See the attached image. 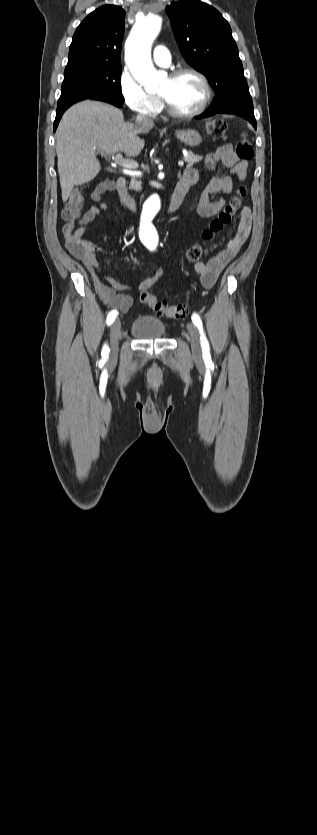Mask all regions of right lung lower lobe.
<instances>
[{
    "instance_id": "1",
    "label": "right lung lower lobe",
    "mask_w": 317,
    "mask_h": 835,
    "mask_svg": "<svg viewBox=\"0 0 317 835\" xmlns=\"http://www.w3.org/2000/svg\"><path fill=\"white\" fill-rule=\"evenodd\" d=\"M91 99H92V100H99V101H104V102H107V103H111V104H113V105H115V106H117V107H121V106L123 105V102H124V101H123V100H121V99H118V98H115V97H112V96H109V95L96 96V97H93V98H91ZM75 103H76V102H75ZM73 104H74V103H72V104H68V105H63V106H60V107H57V111H56V118H55L54 125H53L54 131L56 130V128H57V126H58V124H59V121H60V119H61V117H62L63 113L65 112V110H66L68 107H70L71 105H73Z\"/></svg>"
}]
</instances>
